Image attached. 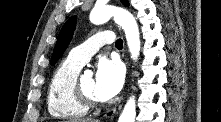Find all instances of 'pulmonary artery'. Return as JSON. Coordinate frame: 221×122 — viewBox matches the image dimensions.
Segmentation results:
<instances>
[{"mask_svg":"<svg viewBox=\"0 0 221 122\" xmlns=\"http://www.w3.org/2000/svg\"><path fill=\"white\" fill-rule=\"evenodd\" d=\"M112 43L113 34L110 31L98 32L72 49L69 58L78 65L84 66L102 46Z\"/></svg>","mask_w":221,"mask_h":122,"instance_id":"obj_1","label":"pulmonary artery"}]
</instances>
